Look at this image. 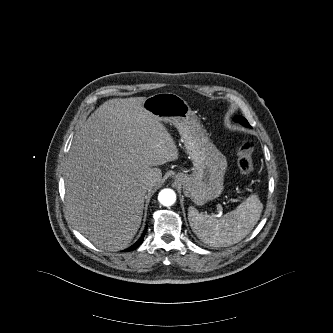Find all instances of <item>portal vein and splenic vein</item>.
Wrapping results in <instances>:
<instances>
[{"mask_svg": "<svg viewBox=\"0 0 333 333\" xmlns=\"http://www.w3.org/2000/svg\"><path fill=\"white\" fill-rule=\"evenodd\" d=\"M217 209H218V210H221V209H222L221 205H218V206H217Z\"/></svg>", "mask_w": 333, "mask_h": 333, "instance_id": "18ae733b", "label": "portal vein and splenic vein"}]
</instances>
